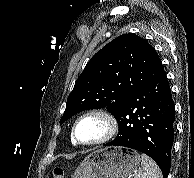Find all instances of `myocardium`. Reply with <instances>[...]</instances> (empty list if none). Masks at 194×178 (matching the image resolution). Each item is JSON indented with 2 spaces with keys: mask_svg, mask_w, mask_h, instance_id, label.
<instances>
[{
  "mask_svg": "<svg viewBox=\"0 0 194 178\" xmlns=\"http://www.w3.org/2000/svg\"><path fill=\"white\" fill-rule=\"evenodd\" d=\"M91 116H95L103 120L106 127L105 133L103 134L102 137H100L95 141L82 142L77 138V135H76L77 125L83 119ZM117 132H118V123L116 118L110 112L104 109L95 108V109H90L85 111L75 119L71 130V138H72V141L77 145L88 146V147L99 146L110 142L116 136Z\"/></svg>",
  "mask_w": 194,
  "mask_h": 178,
  "instance_id": "myocardium-1",
  "label": "myocardium"
}]
</instances>
